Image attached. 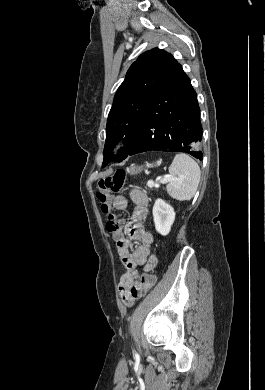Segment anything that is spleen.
<instances>
[{"label":"spleen","mask_w":265,"mask_h":390,"mask_svg":"<svg viewBox=\"0 0 265 390\" xmlns=\"http://www.w3.org/2000/svg\"><path fill=\"white\" fill-rule=\"evenodd\" d=\"M173 180L167 185V192L178 200H190L200 181L198 164L186 154H177L169 167Z\"/></svg>","instance_id":"obj_1"}]
</instances>
